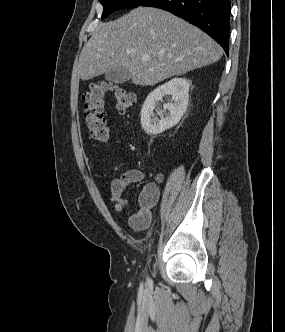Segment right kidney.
<instances>
[{"label":"right kidney","instance_id":"obj_1","mask_svg":"<svg viewBox=\"0 0 285 332\" xmlns=\"http://www.w3.org/2000/svg\"><path fill=\"white\" fill-rule=\"evenodd\" d=\"M190 83L185 78H174L154 89L146 98L141 110V126L150 135H158L175 126L187 110ZM164 96H171L172 102L163 107L169 114L163 117L162 110L154 112L156 103Z\"/></svg>","mask_w":285,"mask_h":332}]
</instances>
